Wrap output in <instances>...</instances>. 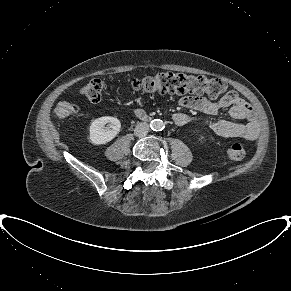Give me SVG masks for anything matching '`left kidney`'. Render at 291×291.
I'll return each instance as SVG.
<instances>
[{"label":"left kidney","mask_w":291,"mask_h":291,"mask_svg":"<svg viewBox=\"0 0 291 291\" xmlns=\"http://www.w3.org/2000/svg\"><path fill=\"white\" fill-rule=\"evenodd\" d=\"M199 140H200V141H204V137H203V136H200V137H199Z\"/></svg>","instance_id":"1"}]
</instances>
